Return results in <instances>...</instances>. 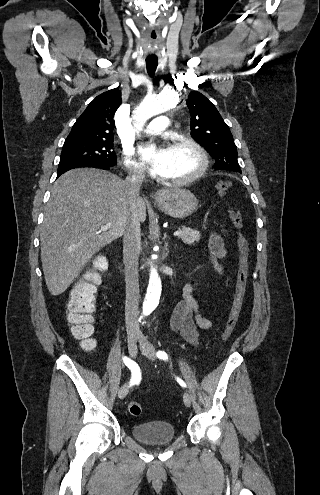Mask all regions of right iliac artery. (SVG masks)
<instances>
[{
    "label": "right iliac artery",
    "mask_w": 320,
    "mask_h": 495,
    "mask_svg": "<svg viewBox=\"0 0 320 495\" xmlns=\"http://www.w3.org/2000/svg\"><path fill=\"white\" fill-rule=\"evenodd\" d=\"M123 361L125 365L131 370L132 379L130 381V386H132L135 383H137L140 379V374H141L140 369L135 361L131 360L126 356L123 357Z\"/></svg>",
    "instance_id": "1"
}]
</instances>
